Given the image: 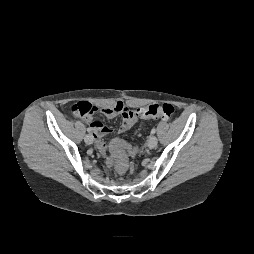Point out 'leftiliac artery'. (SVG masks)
<instances>
[{
    "label": "left iliac artery",
    "instance_id": "obj_1",
    "mask_svg": "<svg viewBox=\"0 0 254 254\" xmlns=\"http://www.w3.org/2000/svg\"><path fill=\"white\" fill-rule=\"evenodd\" d=\"M155 132H156V129L153 128V129L151 130V134H155Z\"/></svg>",
    "mask_w": 254,
    "mask_h": 254
}]
</instances>
